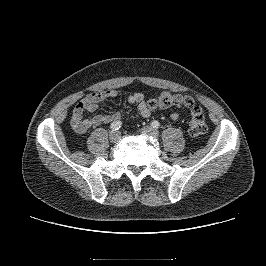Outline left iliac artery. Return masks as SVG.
I'll return each mask as SVG.
<instances>
[{
  "mask_svg": "<svg viewBox=\"0 0 266 266\" xmlns=\"http://www.w3.org/2000/svg\"><path fill=\"white\" fill-rule=\"evenodd\" d=\"M151 126L153 128H158L160 126V123L158 121L154 120V121L151 122Z\"/></svg>",
  "mask_w": 266,
  "mask_h": 266,
  "instance_id": "obj_1",
  "label": "left iliac artery"
}]
</instances>
